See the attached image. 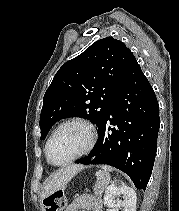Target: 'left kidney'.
I'll use <instances>...</instances> for the list:
<instances>
[{
    "label": "left kidney",
    "instance_id": "left-kidney-1",
    "mask_svg": "<svg viewBox=\"0 0 179 211\" xmlns=\"http://www.w3.org/2000/svg\"><path fill=\"white\" fill-rule=\"evenodd\" d=\"M120 195L123 196L124 201L114 200L116 196ZM136 202V193L132 188L114 183L106 187L104 204L109 208H114L110 211H118L120 207H123V211H136Z\"/></svg>",
    "mask_w": 179,
    "mask_h": 211
}]
</instances>
